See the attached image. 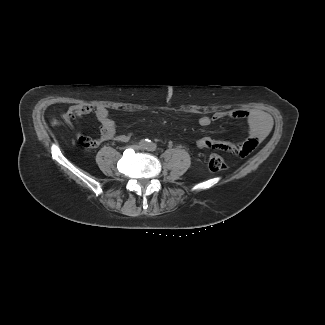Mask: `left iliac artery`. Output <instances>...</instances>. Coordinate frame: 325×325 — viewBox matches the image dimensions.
<instances>
[{
    "label": "left iliac artery",
    "mask_w": 325,
    "mask_h": 325,
    "mask_svg": "<svg viewBox=\"0 0 325 325\" xmlns=\"http://www.w3.org/2000/svg\"><path fill=\"white\" fill-rule=\"evenodd\" d=\"M156 148H157V146H156V144L153 143V142H150V143L148 144V147H147V149H148L149 151H155Z\"/></svg>",
    "instance_id": "obj_1"
}]
</instances>
